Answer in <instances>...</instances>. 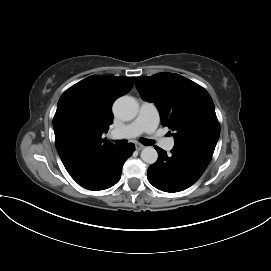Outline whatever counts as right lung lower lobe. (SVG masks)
Wrapping results in <instances>:
<instances>
[{"instance_id":"98d812e1","label":"right lung lower lobe","mask_w":271,"mask_h":271,"mask_svg":"<svg viewBox=\"0 0 271 271\" xmlns=\"http://www.w3.org/2000/svg\"><path fill=\"white\" fill-rule=\"evenodd\" d=\"M134 150L132 143L114 147L98 163L74 180L89 190L110 188L120 180L122 166Z\"/></svg>"}]
</instances>
